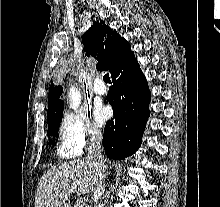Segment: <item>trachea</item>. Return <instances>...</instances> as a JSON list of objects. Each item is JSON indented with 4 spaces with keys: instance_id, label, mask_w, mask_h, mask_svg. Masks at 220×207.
I'll use <instances>...</instances> for the list:
<instances>
[{
    "instance_id": "1",
    "label": "trachea",
    "mask_w": 220,
    "mask_h": 207,
    "mask_svg": "<svg viewBox=\"0 0 220 207\" xmlns=\"http://www.w3.org/2000/svg\"><path fill=\"white\" fill-rule=\"evenodd\" d=\"M103 80H104L105 83H111L109 74H105V75L103 76Z\"/></svg>"
}]
</instances>
